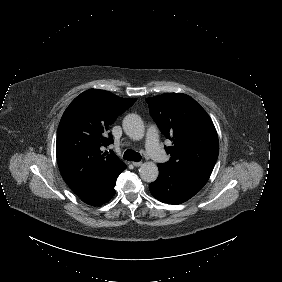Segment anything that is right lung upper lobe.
<instances>
[{
	"instance_id": "right-lung-upper-lobe-1",
	"label": "right lung upper lobe",
	"mask_w": 282,
	"mask_h": 282,
	"mask_svg": "<svg viewBox=\"0 0 282 282\" xmlns=\"http://www.w3.org/2000/svg\"><path fill=\"white\" fill-rule=\"evenodd\" d=\"M135 101L90 89L65 110L57 131L56 156L63 179L78 196L95 181L125 168L115 154L105 156L100 148L113 143L110 125Z\"/></svg>"
}]
</instances>
